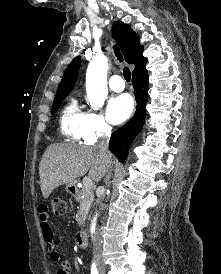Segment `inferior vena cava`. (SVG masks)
I'll list each match as a JSON object with an SVG mask.
<instances>
[{
	"instance_id": "inferior-vena-cava-1",
	"label": "inferior vena cava",
	"mask_w": 221,
	"mask_h": 274,
	"mask_svg": "<svg viewBox=\"0 0 221 274\" xmlns=\"http://www.w3.org/2000/svg\"><path fill=\"white\" fill-rule=\"evenodd\" d=\"M103 131H104V135L102 136L101 141L97 144L96 147L99 150L101 156L107 160V163L109 165L108 169H109L111 166V158L108 152V140L111 135V127L106 125ZM109 178H110V175H107L105 179L106 183L109 180ZM103 200H104V194L100 197V201H99L100 210H103L104 208ZM94 256L96 259H99L101 256V239L98 234L96 235L95 243H94Z\"/></svg>"
}]
</instances>
